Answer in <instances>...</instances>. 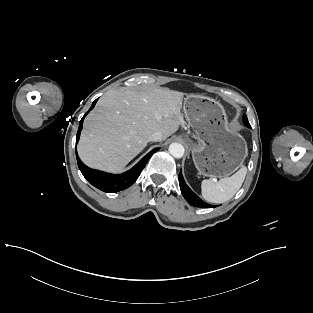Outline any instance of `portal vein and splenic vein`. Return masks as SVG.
<instances>
[{
  "instance_id": "portal-vein-and-splenic-vein-1",
  "label": "portal vein and splenic vein",
  "mask_w": 313,
  "mask_h": 313,
  "mask_svg": "<svg viewBox=\"0 0 313 313\" xmlns=\"http://www.w3.org/2000/svg\"><path fill=\"white\" fill-rule=\"evenodd\" d=\"M214 182H216V183H217V179H214Z\"/></svg>"
}]
</instances>
